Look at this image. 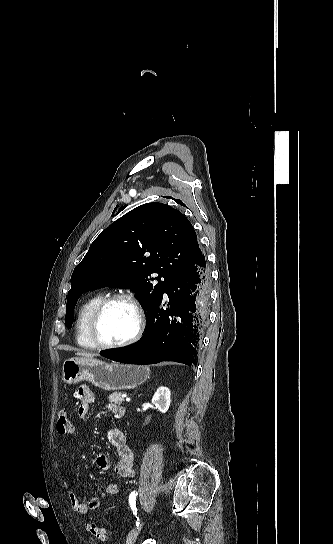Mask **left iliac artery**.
<instances>
[{"instance_id":"1","label":"left iliac artery","mask_w":333,"mask_h":544,"mask_svg":"<svg viewBox=\"0 0 333 544\" xmlns=\"http://www.w3.org/2000/svg\"><path fill=\"white\" fill-rule=\"evenodd\" d=\"M137 492L136 491H133L131 492V494L129 495V504H130V507L133 511V514L134 516L136 517L137 521H136V526H139V517L137 515V508H136V497H137Z\"/></svg>"}]
</instances>
